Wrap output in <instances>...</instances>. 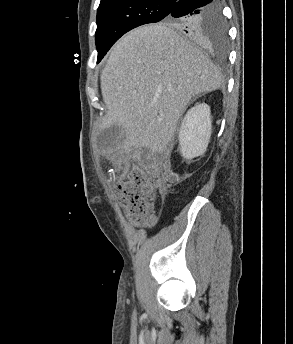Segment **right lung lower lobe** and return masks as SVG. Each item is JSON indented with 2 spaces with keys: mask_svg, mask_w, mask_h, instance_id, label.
<instances>
[{
  "mask_svg": "<svg viewBox=\"0 0 293 344\" xmlns=\"http://www.w3.org/2000/svg\"><path fill=\"white\" fill-rule=\"evenodd\" d=\"M218 0H177L169 16L172 18H189L201 13H209L216 8ZM183 31L193 40L201 38L204 28L196 21L185 23ZM200 43V42H199Z\"/></svg>",
  "mask_w": 293,
  "mask_h": 344,
  "instance_id": "1",
  "label": "right lung lower lobe"
}]
</instances>
